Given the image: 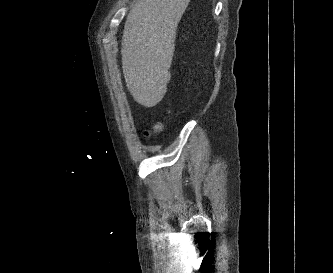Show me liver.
<instances>
[{
    "instance_id": "obj_1",
    "label": "liver",
    "mask_w": 333,
    "mask_h": 273,
    "mask_svg": "<svg viewBox=\"0 0 333 273\" xmlns=\"http://www.w3.org/2000/svg\"><path fill=\"white\" fill-rule=\"evenodd\" d=\"M190 0H138L122 37V68L128 90L144 107L167 91L178 23Z\"/></svg>"
}]
</instances>
